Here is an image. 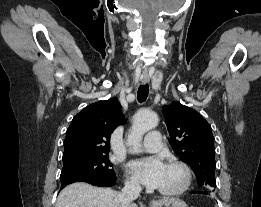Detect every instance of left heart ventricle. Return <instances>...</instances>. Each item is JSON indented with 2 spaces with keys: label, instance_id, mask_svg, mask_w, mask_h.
<instances>
[{
  "label": "left heart ventricle",
  "instance_id": "b2bd125f",
  "mask_svg": "<svg viewBox=\"0 0 261 207\" xmlns=\"http://www.w3.org/2000/svg\"><path fill=\"white\" fill-rule=\"evenodd\" d=\"M183 180V173L180 168L165 165L158 185V189L171 190L177 188Z\"/></svg>",
  "mask_w": 261,
  "mask_h": 207
}]
</instances>
